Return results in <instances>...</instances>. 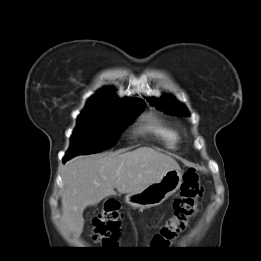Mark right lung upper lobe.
<instances>
[{"instance_id":"right-lung-upper-lobe-1","label":"right lung upper lobe","mask_w":261,"mask_h":261,"mask_svg":"<svg viewBox=\"0 0 261 261\" xmlns=\"http://www.w3.org/2000/svg\"><path fill=\"white\" fill-rule=\"evenodd\" d=\"M90 100L94 101H104V100H120L118 99L111 91L108 89H102L97 95L94 97L90 98ZM124 101H129V102H137V101H143L140 99H125Z\"/></svg>"}]
</instances>
